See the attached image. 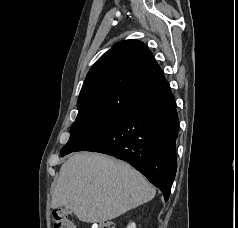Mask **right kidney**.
Here are the masks:
<instances>
[{"label":"right kidney","instance_id":"ca27d5eb","mask_svg":"<svg viewBox=\"0 0 238 228\" xmlns=\"http://www.w3.org/2000/svg\"><path fill=\"white\" fill-rule=\"evenodd\" d=\"M127 228H136V224L132 222L127 226Z\"/></svg>","mask_w":238,"mask_h":228}]
</instances>
